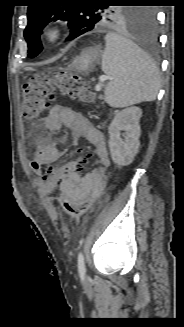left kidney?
I'll return each mask as SVG.
<instances>
[{"mask_svg":"<svg viewBox=\"0 0 184 327\" xmlns=\"http://www.w3.org/2000/svg\"><path fill=\"white\" fill-rule=\"evenodd\" d=\"M141 116L139 107H128L115 115L108 128L111 158L119 166L130 165L138 153ZM121 131H125L124 140L120 137Z\"/></svg>","mask_w":184,"mask_h":327,"instance_id":"left-kidney-1","label":"left kidney"}]
</instances>
